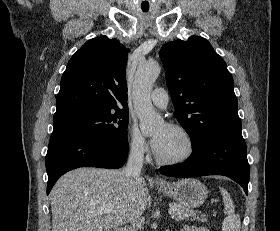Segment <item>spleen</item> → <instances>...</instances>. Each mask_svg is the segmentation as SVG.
Listing matches in <instances>:
<instances>
[{
  "instance_id": "1",
  "label": "spleen",
  "mask_w": 280,
  "mask_h": 231,
  "mask_svg": "<svg viewBox=\"0 0 280 231\" xmlns=\"http://www.w3.org/2000/svg\"><path fill=\"white\" fill-rule=\"evenodd\" d=\"M219 189L222 193L224 207L227 213V217L223 221L222 231H240V217L238 213H235L232 197L224 187H219Z\"/></svg>"
}]
</instances>
